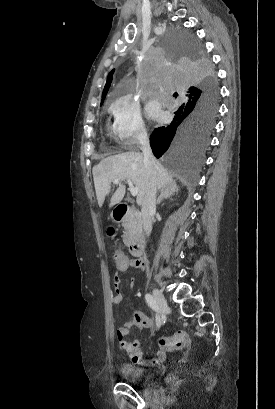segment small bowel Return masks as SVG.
<instances>
[{
    "instance_id": "1",
    "label": "small bowel",
    "mask_w": 275,
    "mask_h": 409,
    "mask_svg": "<svg viewBox=\"0 0 275 409\" xmlns=\"http://www.w3.org/2000/svg\"><path fill=\"white\" fill-rule=\"evenodd\" d=\"M125 270L129 268H141L142 264L141 262L129 260L126 265H124ZM124 270V271H125ZM113 279L114 283L113 286L116 288L115 290V297L113 298V303L115 304H120L122 302V292L119 288L120 283H121V278L119 273H114L113 274ZM128 283L130 288H133L135 286V278L134 277H129L128 278ZM137 305V304H136ZM131 316L134 317V319H129L127 321V326L129 328H134L135 326L137 328H151L154 325V320L152 318H149L145 316L144 314L140 313L138 314L137 309L131 311ZM143 318V319H142ZM127 326H122L121 330L118 331V340L120 343V347L122 351H130V358L134 359V361L142 366H153L157 364H161L165 361L166 359V354L164 350H160L156 356V358H147L145 357L142 352L139 350V340L137 338H131L129 340L128 337H125V333L128 332V327Z\"/></svg>"
}]
</instances>
